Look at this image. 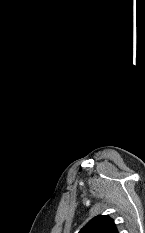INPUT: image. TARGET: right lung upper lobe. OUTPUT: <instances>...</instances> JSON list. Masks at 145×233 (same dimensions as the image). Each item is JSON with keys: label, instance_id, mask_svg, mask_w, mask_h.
<instances>
[{"label": "right lung upper lobe", "instance_id": "obj_1", "mask_svg": "<svg viewBox=\"0 0 145 233\" xmlns=\"http://www.w3.org/2000/svg\"><path fill=\"white\" fill-rule=\"evenodd\" d=\"M79 233H118L109 216L99 215L88 222Z\"/></svg>", "mask_w": 145, "mask_h": 233}]
</instances>
